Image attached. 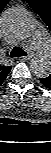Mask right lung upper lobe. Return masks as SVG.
<instances>
[{"label": "right lung upper lobe", "instance_id": "cb5924a9", "mask_svg": "<svg viewBox=\"0 0 51 153\" xmlns=\"http://www.w3.org/2000/svg\"><path fill=\"white\" fill-rule=\"evenodd\" d=\"M9 1L10 0H0V13ZM10 70H11L10 66H2L0 64V85L3 83Z\"/></svg>", "mask_w": 51, "mask_h": 153}]
</instances>
